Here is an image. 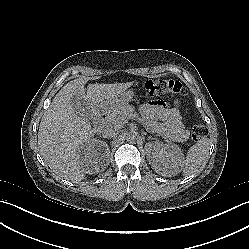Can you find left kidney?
Masks as SVG:
<instances>
[{"label": "left kidney", "instance_id": "1", "mask_svg": "<svg viewBox=\"0 0 249 249\" xmlns=\"http://www.w3.org/2000/svg\"><path fill=\"white\" fill-rule=\"evenodd\" d=\"M154 150L158 160V170L162 171L164 174H167L174 166L172 156L176 154L175 152L169 151L167 146H163L161 143H155Z\"/></svg>", "mask_w": 249, "mask_h": 249}]
</instances>
